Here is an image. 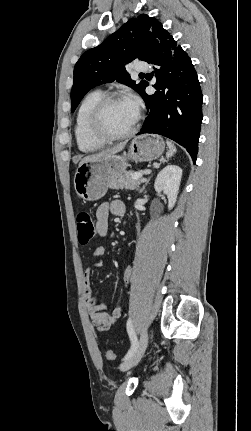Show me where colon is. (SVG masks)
I'll list each match as a JSON object with an SVG mask.
<instances>
[{
	"mask_svg": "<svg viewBox=\"0 0 251 431\" xmlns=\"http://www.w3.org/2000/svg\"><path fill=\"white\" fill-rule=\"evenodd\" d=\"M76 225L78 232V241L82 245L90 243L94 238L96 228L91 214L87 211H81L76 217ZM106 358L109 361L116 360V355L113 351L109 350L106 353Z\"/></svg>",
	"mask_w": 251,
	"mask_h": 431,
	"instance_id": "obj_1",
	"label": "colon"
}]
</instances>
